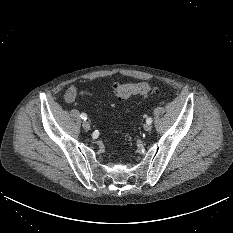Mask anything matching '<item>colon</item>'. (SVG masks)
Listing matches in <instances>:
<instances>
[{"label": "colon", "instance_id": "obj_1", "mask_svg": "<svg viewBox=\"0 0 233 233\" xmlns=\"http://www.w3.org/2000/svg\"><path fill=\"white\" fill-rule=\"evenodd\" d=\"M156 91V85L146 82L116 84L114 86V95L119 101L126 100L133 95H147Z\"/></svg>", "mask_w": 233, "mask_h": 233}]
</instances>
